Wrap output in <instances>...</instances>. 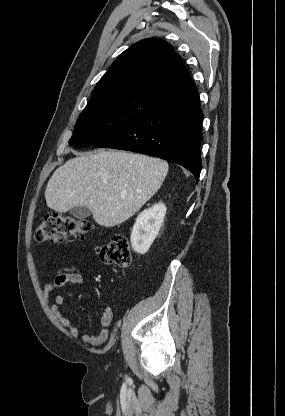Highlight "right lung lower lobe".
Segmentation results:
<instances>
[{
  "label": "right lung lower lobe",
  "mask_w": 285,
  "mask_h": 416,
  "mask_svg": "<svg viewBox=\"0 0 285 416\" xmlns=\"http://www.w3.org/2000/svg\"><path fill=\"white\" fill-rule=\"evenodd\" d=\"M202 120L199 95H196L161 107L94 146L128 150L175 162L190 170L198 181Z\"/></svg>",
  "instance_id": "98d812e1"
}]
</instances>
